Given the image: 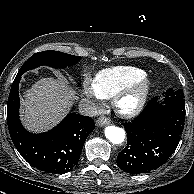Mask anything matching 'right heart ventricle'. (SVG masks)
<instances>
[{"instance_id":"right-heart-ventricle-1","label":"right heart ventricle","mask_w":194,"mask_h":194,"mask_svg":"<svg viewBox=\"0 0 194 194\" xmlns=\"http://www.w3.org/2000/svg\"><path fill=\"white\" fill-rule=\"evenodd\" d=\"M145 75L146 72L137 67H110L99 71L92 83L100 98L110 99L122 87Z\"/></svg>"}]
</instances>
